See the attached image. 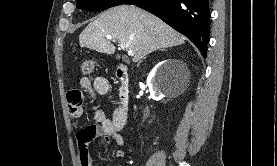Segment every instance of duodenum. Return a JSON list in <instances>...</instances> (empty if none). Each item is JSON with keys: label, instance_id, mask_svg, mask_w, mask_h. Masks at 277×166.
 <instances>
[{"label": "duodenum", "instance_id": "410a0bca", "mask_svg": "<svg viewBox=\"0 0 277 166\" xmlns=\"http://www.w3.org/2000/svg\"><path fill=\"white\" fill-rule=\"evenodd\" d=\"M116 77L120 86L118 102L119 115L123 120L127 121L130 103V80L128 70L125 65L119 64L117 66Z\"/></svg>", "mask_w": 277, "mask_h": 166}]
</instances>
